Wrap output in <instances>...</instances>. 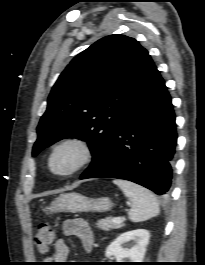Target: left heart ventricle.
<instances>
[{
  "label": "left heart ventricle",
  "mask_w": 205,
  "mask_h": 265,
  "mask_svg": "<svg viewBox=\"0 0 205 265\" xmlns=\"http://www.w3.org/2000/svg\"><path fill=\"white\" fill-rule=\"evenodd\" d=\"M79 152L73 146H65L59 149L52 159V167L55 171L64 172L70 169L78 160Z\"/></svg>",
  "instance_id": "1"
}]
</instances>
